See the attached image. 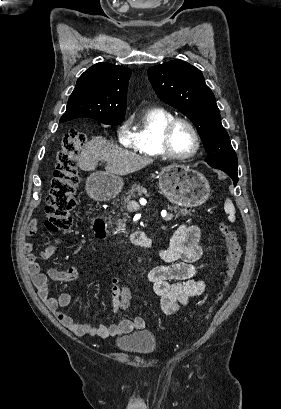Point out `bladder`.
Masks as SVG:
<instances>
[{"instance_id":"bladder-1","label":"bladder","mask_w":281,"mask_h":409,"mask_svg":"<svg viewBox=\"0 0 281 409\" xmlns=\"http://www.w3.org/2000/svg\"><path fill=\"white\" fill-rule=\"evenodd\" d=\"M114 347L124 354L147 357L157 352L158 341L150 329H137L129 335H117Z\"/></svg>"}]
</instances>
